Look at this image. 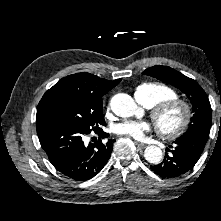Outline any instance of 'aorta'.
Listing matches in <instances>:
<instances>
[{
    "label": "aorta",
    "mask_w": 221,
    "mask_h": 221,
    "mask_svg": "<svg viewBox=\"0 0 221 221\" xmlns=\"http://www.w3.org/2000/svg\"><path fill=\"white\" fill-rule=\"evenodd\" d=\"M111 109L117 116L123 118L131 117L138 112V106L133 98L124 93H119L111 99ZM144 157L149 163L158 164L163 157L162 150L154 145L148 146L144 151Z\"/></svg>",
    "instance_id": "aorta-1"
}]
</instances>
